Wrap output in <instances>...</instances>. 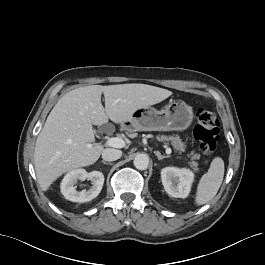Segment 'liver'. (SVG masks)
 <instances>
[{"label":"liver","instance_id":"liver-1","mask_svg":"<svg viewBox=\"0 0 265 265\" xmlns=\"http://www.w3.org/2000/svg\"><path fill=\"white\" fill-rule=\"evenodd\" d=\"M105 97V108L101 95ZM172 92L146 84L90 85L69 91L51 110L34 151L38 183L43 191L62 174L94 164L104 150L95 143L93 125L108 119L124 124L133 113L160 103Z\"/></svg>","mask_w":265,"mask_h":265}]
</instances>
